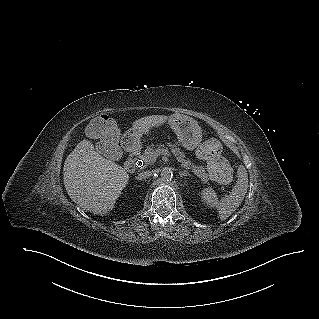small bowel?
<instances>
[{"label": "small bowel", "instance_id": "small-bowel-1", "mask_svg": "<svg viewBox=\"0 0 319 319\" xmlns=\"http://www.w3.org/2000/svg\"><path fill=\"white\" fill-rule=\"evenodd\" d=\"M198 155H199L200 158L204 159L202 154H201V152H200V149L198 150Z\"/></svg>", "mask_w": 319, "mask_h": 319}]
</instances>
